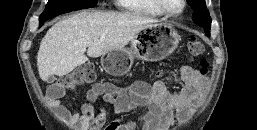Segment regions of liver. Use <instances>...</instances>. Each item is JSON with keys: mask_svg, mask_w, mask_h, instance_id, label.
I'll use <instances>...</instances> for the list:
<instances>
[{"mask_svg": "<svg viewBox=\"0 0 257 130\" xmlns=\"http://www.w3.org/2000/svg\"><path fill=\"white\" fill-rule=\"evenodd\" d=\"M157 19L129 13L80 12L57 22L42 39L37 54L39 76L62 77L108 51L124 48Z\"/></svg>", "mask_w": 257, "mask_h": 130, "instance_id": "liver-1", "label": "liver"}]
</instances>
